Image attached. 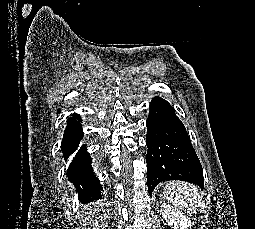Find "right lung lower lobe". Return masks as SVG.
<instances>
[{"label": "right lung lower lobe", "instance_id": "obj_1", "mask_svg": "<svg viewBox=\"0 0 255 229\" xmlns=\"http://www.w3.org/2000/svg\"><path fill=\"white\" fill-rule=\"evenodd\" d=\"M81 118L77 114L67 120V127L62 141V152L65 160L71 161L67 169L68 180L71 181L78 192L79 200L89 203L101 197L102 186L94 176L91 167L92 159L86 150V145L81 144L83 131Z\"/></svg>", "mask_w": 255, "mask_h": 229}]
</instances>
